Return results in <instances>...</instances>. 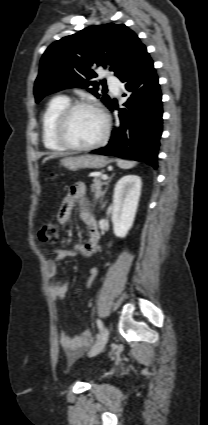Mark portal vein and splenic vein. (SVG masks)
<instances>
[{
    "label": "portal vein and splenic vein",
    "instance_id": "1",
    "mask_svg": "<svg viewBox=\"0 0 208 425\" xmlns=\"http://www.w3.org/2000/svg\"><path fill=\"white\" fill-rule=\"evenodd\" d=\"M102 179H103V180H107V179H108V176H107L106 174H103V175H102Z\"/></svg>",
    "mask_w": 208,
    "mask_h": 425
}]
</instances>
